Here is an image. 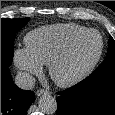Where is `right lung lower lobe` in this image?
I'll return each mask as SVG.
<instances>
[{
	"label": "right lung lower lobe",
	"instance_id": "1",
	"mask_svg": "<svg viewBox=\"0 0 115 115\" xmlns=\"http://www.w3.org/2000/svg\"><path fill=\"white\" fill-rule=\"evenodd\" d=\"M34 100V92L17 87L8 66L1 65V115H26Z\"/></svg>",
	"mask_w": 115,
	"mask_h": 115
}]
</instances>
